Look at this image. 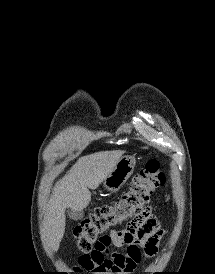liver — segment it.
<instances>
[{
	"label": "liver",
	"instance_id": "6515ba94",
	"mask_svg": "<svg viewBox=\"0 0 215 274\" xmlns=\"http://www.w3.org/2000/svg\"><path fill=\"white\" fill-rule=\"evenodd\" d=\"M122 155L123 151L113 150L81 157L56 183L44 217L49 250L56 252L64 236L66 209L86 208L91 201L89 189H96L104 181Z\"/></svg>",
	"mask_w": 215,
	"mask_h": 274
}]
</instances>
